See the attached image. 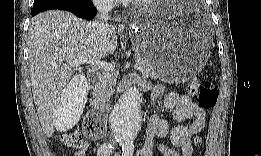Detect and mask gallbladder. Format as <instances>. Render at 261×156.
<instances>
[{"label":"gallbladder","mask_w":261,"mask_h":156,"mask_svg":"<svg viewBox=\"0 0 261 156\" xmlns=\"http://www.w3.org/2000/svg\"><path fill=\"white\" fill-rule=\"evenodd\" d=\"M66 87L68 88L62 90L60 94L61 100L52 107L55 110H52L54 117L51 123L54 128L61 131L69 130L80 120L89 94L87 93L89 91L87 79L84 75H75Z\"/></svg>","instance_id":"obj_1"}]
</instances>
